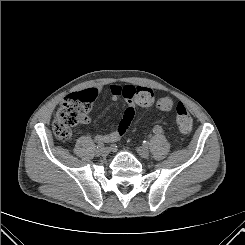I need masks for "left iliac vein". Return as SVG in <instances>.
<instances>
[{"label": "left iliac vein", "instance_id": "obj_1", "mask_svg": "<svg viewBox=\"0 0 245 245\" xmlns=\"http://www.w3.org/2000/svg\"><path fill=\"white\" fill-rule=\"evenodd\" d=\"M137 152L138 154L143 157V158H147L149 156V150L147 147L145 146H140V147H137Z\"/></svg>", "mask_w": 245, "mask_h": 245}]
</instances>
